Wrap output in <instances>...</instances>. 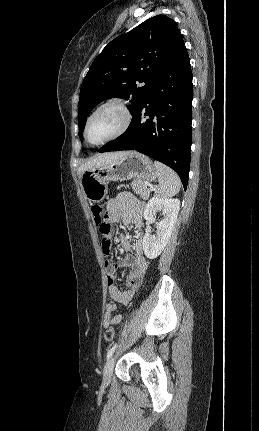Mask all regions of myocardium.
Returning <instances> with one entry per match:
<instances>
[{"label": "myocardium", "instance_id": "myocardium-1", "mask_svg": "<svg viewBox=\"0 0 259 431\" xmlns=\"http://www.w3.org/2000/svg\"><path fill=\"white\" fill-rule=\"evenodd\" d=\"M110 106H114L121 111L122 117H123L122 124L119 127V129L111 136L107 137L106 139L98 143H92L88 138V128H89L90 122L101 110ZM131 123H132V111L128 101L122 97H111L105 100L104 102L100 103L88 116L85 123L84 132H83L84 139L86 140L87 143L93 146H100V145L106 144L122 136L129 129Z\"/></svg>", "mask_w": 259, "mask_h": 431}]
</instances>
